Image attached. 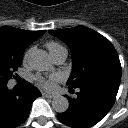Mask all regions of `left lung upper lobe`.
Wrapping results in <instances>:
<instances>
[{
    "label": "left lung upper lobe",
    "instance_id": "left-lung-upper-lobe-1",
    "mask_svg": "<svg viewBox=\"0 0 128 128\" xmlns=\"http://www.w3.org/2000/svg\"><path fill=\"white\" fill-rule=\"evenodd\" d=\"M50 34L66 42L72 50V73L67 81L77 88L96 77L121 79V64L112 43L85 26L50 30Z\"/></svg>",
    "mask_w": 128,
    "mask_h": 128
}]
</instances>
